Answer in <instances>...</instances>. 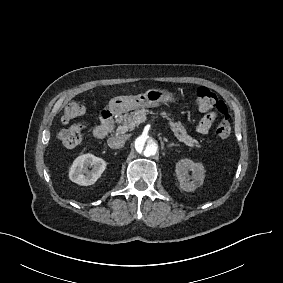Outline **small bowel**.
Returning <instances> with one entry per match:
<instances>
[{
	"label": "small bowel",
	"instance_id": "obj_1",
	"mask_svg": "<svg viewBox=\"0 0 283 283\" xmlns=\"http://www.w3.org/2000/svg\"><path fill=\"white\" fill-rule=\"evenodd\" d=\"M214 114L216 116H221L223 114V108L221 106H216L214 108ZM213 118L214 117L212 114H207L203 116L196 127L197 132L201 135L207 134L211 128Z\"/></svg>",
	"mask_w": 283,
	"mask_h": 283
}]
</instances>
